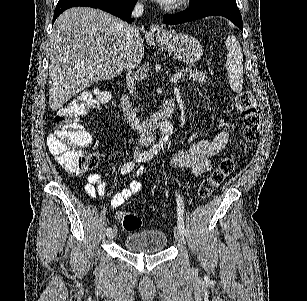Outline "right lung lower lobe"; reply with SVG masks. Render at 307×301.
<instances>
[{
	"instance_id": "1",
	"label": "right lung lower lobe",
	"mask_w": 307,
	"mask_h": 301,
	"mask_svg": "<svg viewBox=\"0 0 307 301\" xmlns=\"http://www.w3.org/2000/svg\"><path fill=\"white\" fill-rule=\"evenodd\" d=\"M136 1L137 0H59L54 11L53 23L63 11L77 6L99 8L131 23L133 22V19L130 18L131 11Z\"/></svg>"
}]
</instances>
